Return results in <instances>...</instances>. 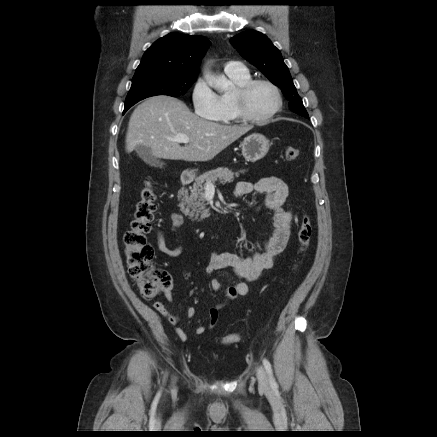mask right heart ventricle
Segmentation results:
<instances>
[{
    "label": "right heart ventricle",
    "mask_w": 437,
    "mask_h": 437,
    "mask_svg": "<svg viewBox=\"0 0 437 437\" xmlns=\"http://www.w3.org/2000/svg\"><path fill=\"white\" fill-rule=\"evenodd\" d=\"M226 75L234 83L236 89L251 79L247 70L238 73H226ZM234 92L219 95L221 112L216 121L223 124H233L241 121L235 109Z\"/></svg>",
    "instance_id": "obj_1"
}]
</instances>
